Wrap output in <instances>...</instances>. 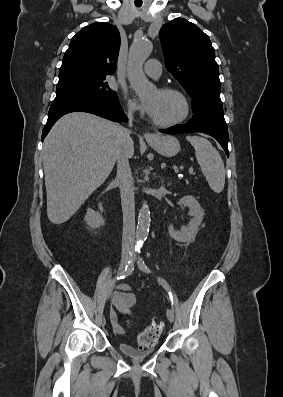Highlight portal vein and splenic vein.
I'll return each instance as SVG.
<instances>
[{"label": "portal vein and splenic vein", "mask_w": 283, "mask_h": 397, "mask_svg": "<svg viewBox=\"0 0 283 397\" xmlns=\"http://www.w3.org/2000/svg\"><path fill=\"white\" fill-rule=\"evenodd\" d=\"M188 173H189V174H192V173H193V168H192V167H190Z\"/></svg>", "instance_id": "portal-vein-and-splenic-vein-1"}]
</instances>
